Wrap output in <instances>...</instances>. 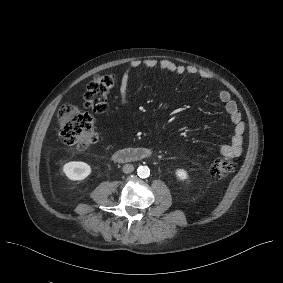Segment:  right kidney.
I'll return each instance as SVG.
<instances>
[{
  "label": "right kidney",
  "instance_id": "1",
  "mask_svg": "<svg viewBox=\"0 0 283 283\" xmlns=\"http://www.w3.org/2000/svg\"><path fill=\"white\" fill-rule=\"evenodd\" d=\"M63 172L73 181L84 180L91 173V167L81 161H71L63 166Z\"/></svg>",
  "mask_w": 283,
  "mask_h": 283
}]
</instances>
